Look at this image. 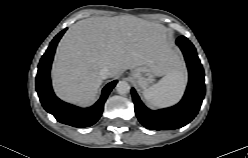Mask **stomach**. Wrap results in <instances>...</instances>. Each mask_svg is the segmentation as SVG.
I'll list each match as a JSON object with an SVG mask.
<instances>
[{"mask_svg":"<svg viewBox=\"0 0 248 158\" xmlns=\"http://www.w3.org/2000/svg\"><path fill=\"white\" fill-rule=\"evenodd\" d=\"M174 67H176L174 62H167L164 67V73L167 74ZM131 76L137 82L139 87L142 89H147L154 83L157 75L150 66L143 65L132 70Z\"/></svg>","mask_w":248,"mask_h":158,"instance_id":"1","label":"stomach"}]
</instances>
